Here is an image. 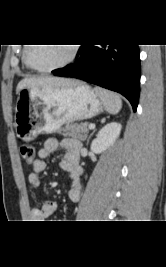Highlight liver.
<instances>
[{
	"label": "liver",
	"instance_id": "liver-1",
	"mask_svg": "<svg viewBox=\"0 0 166 267\" xmlns=\"http://www.w3.org/2000/svg\"><path fill=\"white\" fill-rule=\"evenodd\" d=\"M77 82L71 79H64L52 76L31 77L22 79L16 88V94L24 88H60L72 87Z\"/></svg>",
	"mask_w": 166,
	"mask_h": 267
}]
</instances>
